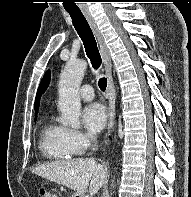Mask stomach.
I'll list each match as a JSON object with an SVG mask.
<instances>
[{
	"label": "stomach",
	"mask_w": 191,
	"mask_h": 197,
	"mask_svg": "<svg viewBox=\"0 0 191 197\" xmlns=\"http://www.w3.org/2000/svg\"><path fill=\"white\" fill-rule=\"evenodd\" d=\"M72 197H83L82 194L78 193V192H75Z\"/></svg>",
	"instance_id": "1"
}]
</instances>
